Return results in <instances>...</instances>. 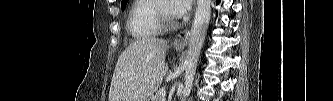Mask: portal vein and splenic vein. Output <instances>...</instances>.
Returning <instances> with one entry per match:
<instances>
[{
  "instance_id": "portal-vein-and-splenic-vein-1",
  "label": "portal vein and splenic vein",
  "mask_w": 333,
  "mask_h": 101,
  "mask_svg": "<svg viewBox=\"0 0 333 101\" xmlns=\"http://www.w3.org/2000/svg\"><path fill=\"white\" fill-rule=\"evenodd\" d=\"M160 94L162 96V99L164 100L165 99V96H166V90L165 89H161L160 90Z\"/></svg>"
}]
</instances>
